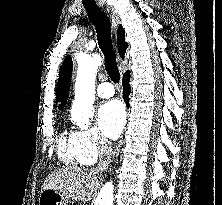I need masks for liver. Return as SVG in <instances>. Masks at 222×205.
<instances>
[{
    "mask_svg": "<svg viewBox=\"0 0 222 205\" xmlns=\"http://www.w3.org/2000/svg\"><path fill=\"white\" fill-rule=\"evenodd\" d=\"M99 184L98 171L72 166L49 174L42 185V191L52 189L61 193L66 199L88 201Z\"/></svg>",
    "mask_w": 222,
    "mask_h": 205,
    "instance_id": "obj_1",
    "label": "liver"
}]
</instances>
